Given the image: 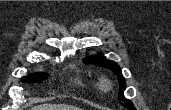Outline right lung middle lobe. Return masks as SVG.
<instances>
[{
	"label": "right lung middle lobe",
	"instance_id": "1",
	"mask_svg": "<svg viewBox=\"0 0 171 110\" xmlns=\"http://www.w3.org/2000/svg\"><path fill=\"white\" fill-rule=\"evenodd\" d=\"M48 77L46 73H37L30 75L28 77H23L21 79L22 82H41Z\"/></svg>",
	"mask_w": 171,
	"mask_h": 110
}]
</instances>
